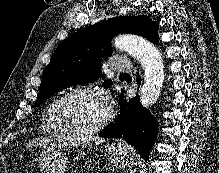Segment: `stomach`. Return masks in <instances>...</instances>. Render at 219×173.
Wrapping results in <instances>:
<instances>
[{
  "instance_id": "obj_1",
  "label": "stomach",
  "mask_w": 219,
  "mask_h": 173,
  "mask_svg": "<svg viewBox=\"0 0 219 173\" xmlns=\"http://www.w3.org/2000/svg\"><path fill=\"white\" fill-rule=\"evenodd\" d=\"M109 162L116 168H127L135 164L134 154L131 149L121 143H114L106 148ZM68 151L57 144H49L40 152L37 163L40 173H65L68 161ZM81 158H87L85 152H80Z\"/></svg>"
}]
</instances>
